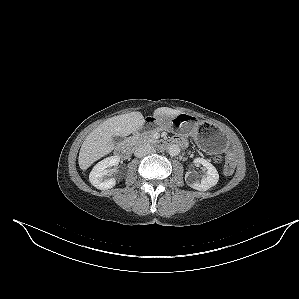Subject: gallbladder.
I'll return each mask as SVG.
<instances>
[{
    "label": "gallbladder",
    "mask_w": 299,
    "mask_h": 299,
    "mask_svg": "<svg viewBox=\"0 0 299 299\" xmlns=\"http://www.w3.org/2000/svg\"><path fill=\"white\" fill-rule=\"evenodd\" d=\"M112 139H113L114 143H120L123 140V137L113 136Z\"/></svg>",
    "instance_id": "gallbladder-1"
}]
</instances>
